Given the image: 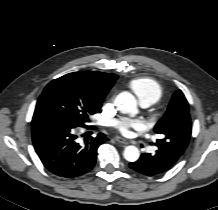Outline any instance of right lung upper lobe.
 I'll return each instance as SVG.
<instances>
[{
  "mask_svg": "<svg viewBox=\"0 0 218 210\" xmlns=\"http://www.w3.org/2000/svg\"><path fill=\"white\" fill-rule=\"evenodd\" d=\"M118 76L112 73L83 71L66 74L56 80L98 102L103 101Z\"/></svg>",
  "mask_w": 218,
  "mask_h": 210,
  "instance_id": "obj_1",
  "label": "right lung upper lobe"
}]
</instances>
